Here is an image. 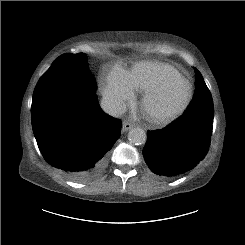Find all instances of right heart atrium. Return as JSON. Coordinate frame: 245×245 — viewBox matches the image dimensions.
Returning <instances> with one entry per match:
<instances>
[{"label": "right heart atrium", "instance_id": "d8ad5b80", "mask_svg": "<svg viewBox=\"0 0 245 245\" xmlns=\"http://www.w3.org/2000/svg\"><path fill=\"white\" fill-rule=\"evenodd\" d=\"M102 92L117 110H121L125 103L134 97L128 75L120 66H113L107 71L102 83Z\"/></svg>", "mask_w": 245, "mask_h": 245}]
</instances>
